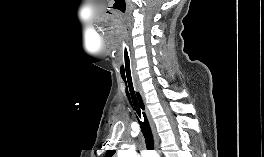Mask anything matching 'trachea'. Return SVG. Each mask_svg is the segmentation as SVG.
I'll return each instance as SVG.
<instances>
[{"label":"trachea","instance_id":"3493384b","mask_svg":"<svg viewBox=\"0 0 264 157\" xmlns=\"http://www.w3.org/2000/svg\"><path fill=\"white\" fill-rule=\"evenodd\" d=\"M121 77L126 86L128 100L137 113V119L145 138L146 147L148 150H154L153 134L146 114L144 113V104L141 95L135 89L131 53L126 44L122 47Z\"/></svg>","mask_w":264,"mask_h":157}]
</instances>
